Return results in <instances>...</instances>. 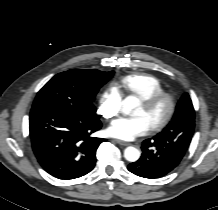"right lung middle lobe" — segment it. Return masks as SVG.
Segmentation results:
<instances>
[{
	"label": "right lung middle lobe",
	"instance_id": "dd1d6c3e",
	"mask_svg": "<svg viewBox=\"0 0 218 210\" xmlns=\"http://www.w3.org/2000/svg\"><path fill=\"white\" fill-rule=\"evenodd\" d=\"M93 76L69 70L55 75L38 92L32 109L57 106L86 116H97L93 105L95 95L113 75Z\"/></svg>",
	"mask_w": 218,
	"mask_h": 210
}]
</instances>
